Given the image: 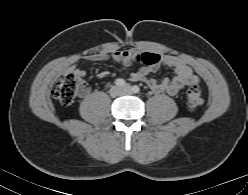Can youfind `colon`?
I'll return each mask as SVG.
<instances>
[{"label": "colon", "mask_w": 248, "mask_h": 195, "mask_svg": "<svg viewBox=\"0 0 248 195\" xmlns=\"http://www.w3.org/2000/svg\"><path fill=\"white\" fill-rule=\"evenodd\" d=\"M138 63H143L147 66L158 63L159 56L154 53L140 52L134 56ZM87 89L85 83L81 82L77 75L69 73L62 78H59L52 86V95L62 105H71L79 94H83ZM186 102L190 111H195L203 104L201 88L193 84L186 92Z\"/></svg>", "instance_id": "colon-1"}]
</instances>
